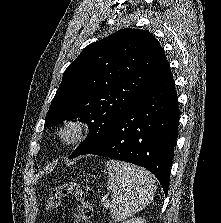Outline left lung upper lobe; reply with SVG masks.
I'll return each mask as SVG.
<instances>
[{
	"label": "left lung upper lobe",
	"instance_id": "obj_1",
	"mask_svg": "<svg viewBox=\"0 0 221 223\" xmlns=\"http://www.w3.org/2000/svg\"><path fill=\"white\" fill-rule=\"evenodd\" d=\"M165 62L157 39L144 30L122 29L90 44L65 70L45 126L84 118L89 135L70 158L79 156L109 132Z\"/></svg>",
	"mask_w": 221,
	"mask_h": 223
}]
</instances>
